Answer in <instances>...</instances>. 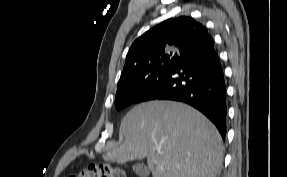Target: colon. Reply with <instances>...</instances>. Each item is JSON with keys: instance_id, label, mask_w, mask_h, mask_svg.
Instances as JSON below:
<instances>
[{"instance_id": "obj_1", "label": "colon", "mask_w": 287, "mask_h": 177, "mask_svg": "<svg viewBox=\"0 0 287 177\" xmlns=\"http://www.w3.org/2000/svg\"><path fill=\"white\" fill-rule=\"evenodd\" d=\"M71 177H126L124 172L110 163L95 162L76 170Z\"/></svg>"}]
</instances>
